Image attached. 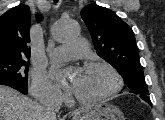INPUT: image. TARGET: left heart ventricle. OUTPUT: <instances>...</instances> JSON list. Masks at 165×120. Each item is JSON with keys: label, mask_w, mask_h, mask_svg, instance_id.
<instances>
[{"label": "left heart ventricle", "mask_w": 165, "mask_h": 120, "mask_svg": "<svg viewBox=\"0 0 165 120\" xmlns=\"http://www.w3.org/2000/svg\"><path fill=\"white\" fill-rule=\"evenodd\" d=\"M113 85V77L103 68L83 69L74 94L83 99H93L106 93Z\"/></svg>", "instance_id": "b2bd125f"}]
</instances>
